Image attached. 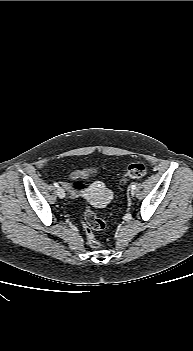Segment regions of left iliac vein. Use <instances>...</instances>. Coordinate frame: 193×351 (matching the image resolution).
<instances>
[{"mask_svg": "<svg viewBox=\"0 0 193 351\" xmlns=\"http://www.w3.org/2000/svg\"><path fill=\"white\" fill-rule=\"evenodd\" d=\"M135 194V190H131V195L133 196Z\"/></svg>", "mask_w": 193, "mask_h": 351, "instance_id": "4c4485c4", "label": "left iliac vein"}]
</instances>
